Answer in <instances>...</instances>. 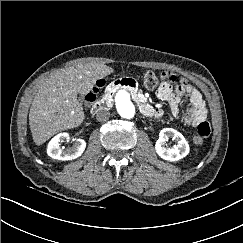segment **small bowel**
<instances>
[{"instance_id": "small-bowel-1", "label": "small bowel", "mask_w": 243, "mask_h": 243, "mask_svg": "<svg viewBox=\"0 0 243 243\" xmlns=\"http://www.w3.org/2000/svg\"><path fill=\"white\" fill-rule=\"evenodd\" d=\"M163 81L156 90V96L167 101L174 117H179V104L182 98L189 101L184 121L187 125L195 127L199 135L208 137L211 127L207 121V109L201 93L194 88L185 78L177 77L174 73L165 72ZM154 116L159 118L163 115L162 109L154 110Z\"/></svg>"}]
</instances>
